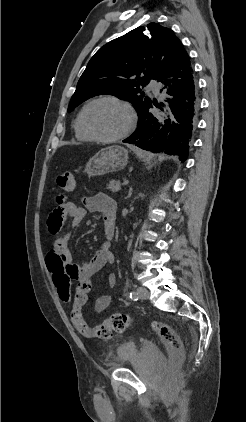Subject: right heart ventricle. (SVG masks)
Here are the masks:
<instances>
[{"label":"right heart ventricle","instance_id":"right-heart-ventricle-1","mask_svg":"<svg viewBox=\"0 0 246 422\" xmlns=\"http://www.w3.org/2000/svg\"><path fill=\"white\" fill-rule=\"evenodd\" d=\"M74 130H75V136L80 141H91V139L87 136V134L84 132L82 125H81V112L78 113L75 123H74Z\"/></svg>","mask_w":246,"mask_h":422}]
</instances>
